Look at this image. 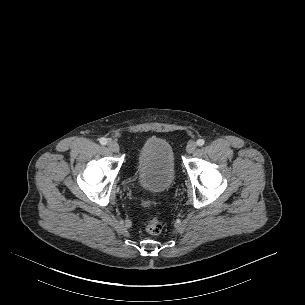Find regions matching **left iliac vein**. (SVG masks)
Here are the masks:
<instances>
[{
    "mask_svg": "<svg viewBox=\"0 0 305 305\" xmlns=\"http://www.w3.org/2000/svg\"><path fill=\"white\" fill-rule=\"evenodd\" d=\"M197 147V143L195 141H190L187 144L186 150L188 153H192Z\"/></svg>",
    "mask_w": 305,
    "mask_h": 305,
    "instance_id": "left-iliac-vein-1",
    "label": "left iliac vein"
}]
</instances>
